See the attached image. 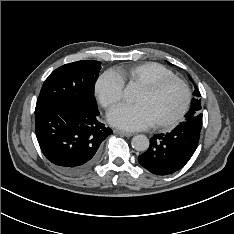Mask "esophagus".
Returning <instances> with one entry per match:
<instances>
[{"instance_id":"esophagus-1","label":"esophagus","mask_w":234,"mask_h":234,"mask_svg":"<svg viewBox=\"0 0 234 234\" xmlns=\"http://www.w3.org/2000/svg\"><path fill=\"white\" fill-rule=\"evenodd\" d=\"M114 133L115 134H120V135L125 136V137H130V136L133 135L132 133L124 132V131H121V130H114Z\"/></svg>"}]
</instances>
